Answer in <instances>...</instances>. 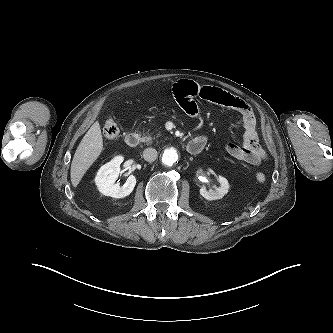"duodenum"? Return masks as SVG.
Instances as JSON below:
<instances>
[{
	"instance_id": "obj_1",
	"label": "duodenum",
	"mask_w": 333,
	"mask_h": 333,
	"mask_svg": "<svg viewBox=\"0 0 333 333\" xmlns=\"http://www.w3.org/2000/svg\"><path fill=\"white\" fill-rule=\"evenodd\" d=\"M125 142L129 147L135 148L140 143V135L136 132H130L126 135ZM205 144L206 142L203 139H193L187 144V151L193 155L199 154Z\"/></svg>"
}]
</instances>
